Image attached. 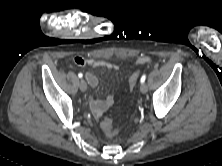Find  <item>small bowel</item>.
<instances>
[{
	"instance_id": "small-bowel-1",
	"label": "small bowel",
	"mask_w": 222,
	"mask_h": 166,
	"mask_svg": "<svg viewBox=\"0 0 222 166\" xmlns=\"http://www.w3.org/2000/svg\"><path fill=\"white\" fill-rule=\"evenodd\" d=\"M151 61L148 56H140L137 58L136 63L138 65L147 64ZM74 63L78 66H93V67H106L109 70H118V66L116 64L106 62L104 60H95L91 58H84L77 56L74 58ZM85 78L88 84L95 88L98 85V78L91 72H87L85 74ZM114 103V95L110 94L104 100H96L93 96H89V106L96 118H99L103 115V113L108 110Z\"/></svg>"
}]
</instances>
